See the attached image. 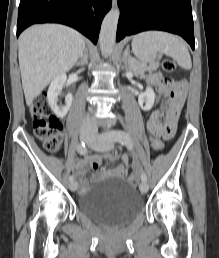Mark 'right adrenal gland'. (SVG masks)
<instances>
[{
	"label": "right adrenal gland",
	"mask_w": 219,
	"mask_h": 258,
	"mask_svg": "<svg viewBox=\"0 0 219 258\" xmlns=\"http://www.w3.org/2000/svg\"><path fill=\"white\" fill-rule=\"evenodd\" d=\"M88 58V51L87 49L84 50V55L81 57V60L76 62L77 66H83L86 64Z\"/></svg>",
	"instance_id": "1"
}]
</instances>
